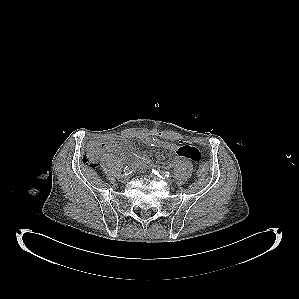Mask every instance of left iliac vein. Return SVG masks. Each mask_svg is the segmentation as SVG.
Listing matches in <instances>:
<instances>
[{"instance_id": "left-iliac-vein-1", "label": "left iliac vein", "mask_w": 299, "mask_h": 299, "mask_svg": "<svg viewBox=\"0 0 299 299\" xmlns=\"http://www.w3.org/2000/svg\"><path fill=\"white\" fill-rule=\"evenodd\" d=\"M164 181L167 183V184H172V180L167 178V179H164Z\"/></svg>"}]
</instances>
